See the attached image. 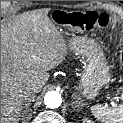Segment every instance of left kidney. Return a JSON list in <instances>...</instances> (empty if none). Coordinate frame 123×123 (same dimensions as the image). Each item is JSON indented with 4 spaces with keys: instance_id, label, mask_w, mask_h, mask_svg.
I'll use <instances>...</instances> for the list:
<instances>
[{
    "instance_id": "obj_1",
    "label": "left kidney",
    "mask_w": 123,
    "mask_h": 123,
    "mask_svg": "<svg viewBox=\"0 0 123 123\" xmlns=\"http://www.w3.org/2000/svg\"><path fill=\"white\" fill-rule=\"evenodd\" d=\"M83 123H93V122L91 120H89L88 118H84Z\"/></svg>"
}]
</instances>
